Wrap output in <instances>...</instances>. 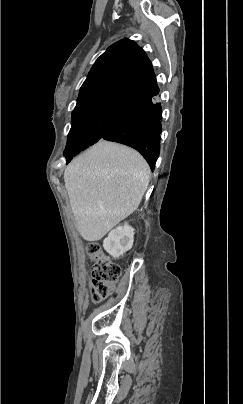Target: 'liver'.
I'll return each mask as SVG.
<instances>
[{"label":"liver","mask_w":243,"mask_h":404,"mask_svg":"<svg viewBox=\"0 0 243 404\" xmlns=\"http://www.w3.org/2000/svg\"><path fill=\"white\" fill-rule=\"evenodd\" d=\"M150 168L127 146L100 140L74 158L64 172L76 230L97 242L137 210L149 184Z\"/></svg>","instance_id":"liver-1"}]
</instances>
